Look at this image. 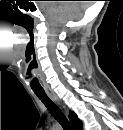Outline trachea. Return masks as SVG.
Instances as JSON below:
<instances>
[{
  "mask_svg": "<svg viewBox=\"0 0 123 130\" xmlns=\"http://www.w3.org/2000/svg\"><path fill=\"white\" fill-rule=\"evenodd\" d=\"M34 93L40 99V101L46 106V108L54 117V119L59 122V124L62 126L64 130H72V127L66 116L63 114L60 108L47 96L45 92Z\"/></svg>",
  "mask_w": 123,
  "mask_h": 130,
  "instance_id": "trachea-1",
  "label": "trachea"
}]
</instances>
